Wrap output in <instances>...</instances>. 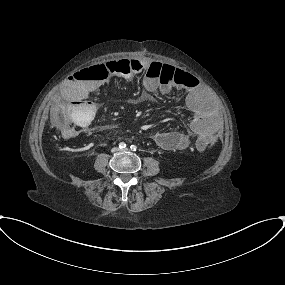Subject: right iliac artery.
Returning <instances> with one entry per match:
<instances>
[{
  "label": "right iliac artery",
  "instance_id": "82829eb1",
  "mask_svg": "<svg viewBox=\"0 0 285 285\" xmlns=\"http://www.w3.org/2000/svg\"><path fill=\"white\" fill-rule=\"evenodd\" d=\"M119 148H120V149L126 148V144H125L124 142H121V143L119 144Z\"/></svg>",
  "mask_w": 285,
  "mask_h": 285
}]
</instances>
